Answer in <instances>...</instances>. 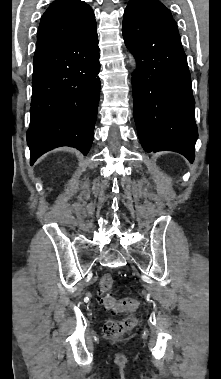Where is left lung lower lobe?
Segmentation results:
<instances>
[{
  "mask_svg": "<svg viewBox=\"0 0 221 379\" xmlns=\"http://www.w3.org/2000/svg\"><path fill=\"white\" fill-rule=\"evenodd\" d=\"M122 31L137 61L133 113L143 148L176 151L193 162L198 137L195 101L177 24L130 2Z\"/></svg>",
  "mask_w": 221,
  "mask_h": 379,
  "instance_id": "left-lung-lower-lobe-1",
  "label": "left lung lower lobe"
}]
</instances>
